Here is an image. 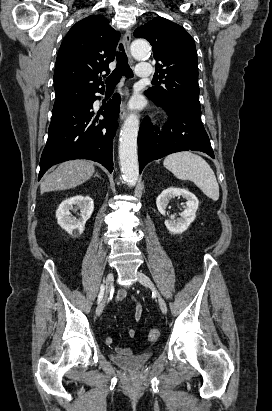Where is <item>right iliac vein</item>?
Wrapping results in <instances>:
<instances>
[{
	"mask_svg": "<svg viewBox=\"0 0 272 411\" xmlns=\"http://www.w3.org/2000/svg\"><path fill=\"white\" fill-rule=\"evenodd\" d=\"M113 280H114L113 273L108 272V274L106 275L105 280H104L105 286H106V292H109V290L111 289V287L113 285ZM103 308H104V301L100 302L98 304L97 308H96V315L97 316L101 315V313L103 311Z\"/></svg>",
	"mask_w": 272,
	"mask_h": 411,
	"instance_id": "right-iliac-vein-1",
	"label": "right iliac vein"
}]
</instances>
